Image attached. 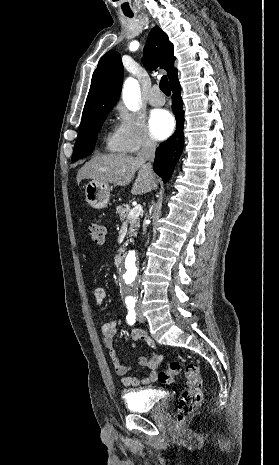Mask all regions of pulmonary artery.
Wrapping results in <instances>:
<instances>
[{"label": "pulmonary artery", "mask_w": 279, "mask_h": 465, "mask_svg": "<svg viewBox=\"0 0 279 465\" xmlns=\"http://www.w3.org/2000/svg\"><path fill=\"white\" fill-rule=\"evenodd\" d=\"M148 101L152 106H162L165 103V97L158 87H153L148 95Z\"/></svg>", "instance_id": "1"}]
</instances>
